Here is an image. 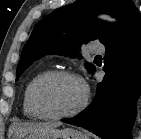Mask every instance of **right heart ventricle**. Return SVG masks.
Instances as JSON below:
<instances>
[{
    "instance_id": "e07e8e85",
    "label": "right heart ventricle",
    "mask_w": 141,
    "mask_h": 139,
    "mask_svg": "<svg viewBox=\"0 0 141 139\" xmlns=\"http://www.w3.org/2000/svg\"><path fill=\"white\" fill-rule=\"evenodd\" d=\"M48 72L47 69H42L38 71L36 74H34L30 80L27 82L22 96V110L23 114L30 119H41L42 117L39 115V113L35 110V108L32 105L31 101V90L36 82V80L41 77L43 74Z\"/></svg>"
}]
</instances>
